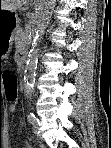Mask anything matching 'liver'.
Listing matches in <instances>:
<instances>
[{
    "label": "liver",
    "mask_w": 111,
    "mask_h": 148,
    "mask_svg": "<svg viewBox=\"0 0 111 148\" xmlns=\"http://www.w3.org/2000/svg\"><path fill=\"white\" fill-rule=\"evenodd\" d=\"M27 0H2L1 9L2 10H16L25 4Z\"/></svg>",
    "instance_id": "liver-1"
}]
</instances>
